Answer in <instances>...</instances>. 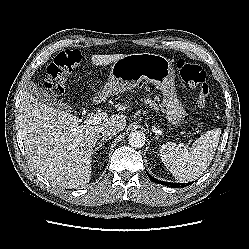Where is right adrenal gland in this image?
I'll list each match as a JSON object with an SVG mask.
<instances>
[{"label": "right adrenal gland", "mask_w": 249, "mask_h": 249, "mask_svg": "<svg viewBox=\"0 0 249 249\" xmlns=\"http://www.w3.org/2000/svg\"><path fill=\"white\" fill-rule=\"evenodd\" d=\"M109 139H111V137L102 138V139L100 140V142L98 143V146L95 148V151H99L100 148L103 147L104 142L107 141V140H109Z\"/></svg>", "instance_id": "obj_1"}]
</instances>
